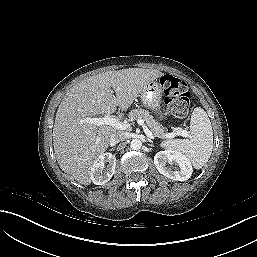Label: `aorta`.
<instances>
[{"label": "aorta", "mask_w": 257, "mask_h": 257, "mask_svg": "<svg viewBox=\"0 0 257 257\" xmlns=\"http://www.w3.org/2000/svg\"><path fill=\"white\" fill-rule=\"evenodd\" d=\"M142 147V141L140 139H132L130 142V148L132 150H139Z\"/></svg>", "instance_id": "aorta-1"}]
</instances>
